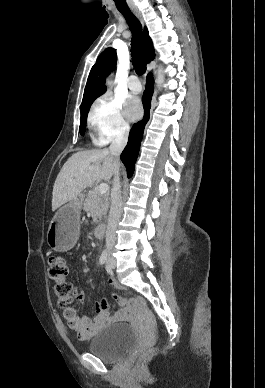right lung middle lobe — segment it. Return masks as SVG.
I'll use <instances>...</instances> for the list:
<instances>
[{"mask_svg": "<svg viewBox=\"0 0 265 388\" xmlns=\"http://www.w3.org/2000/svg\"><path fill=\"white\" fill-rule=\"evenodd\" d=\"M99 97V96H98ZM97 97L87 101L86 103H84L81 107H80V112H81V124H80V128H79V132L81 135L84 134V130H85V127H86V120H87V115H88V111L90 109V106L91 104L93 103V101L96 99Z\"/></svg>", "mask_w": 265, "mask_h": 388, "instance_id": "dd1d6c3e", "label": "right lung middle lobe"}]
</instances>
